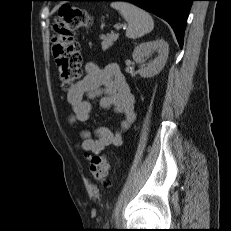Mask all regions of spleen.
<instances>
[{
	"label": "spleen",
	"mask_w": 231,
	"mask_h": 231,
	"mask_svg": "<svg viewBox=\"0 0 231 231\" xmlns=\"http://www.w3.org/2000/svg\"><path fill=\"white\" fill-rule=\"evenodd\" d=\"M111 7L119 11L128 22L126 30L128 38L137 39L153 30L154 21L151 15L143 9L127 2H112Z\"/></svg>",
	"instance_id": "3e777b00"
}]
</instances>
